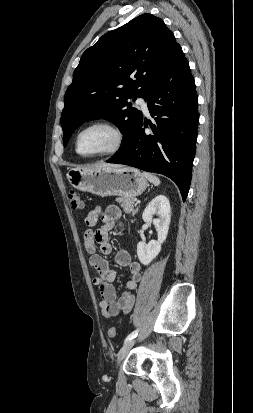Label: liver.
Wrapping results in <instances>:
<instances>
[{
	"label": "liver",
	"instance_id": "6515ba94",
	"mask_svg": "<svg viewBox=\"0 0 253 413\" xmlns=\"http://www.w3.org/2000/svg\"><path fill=\"white\" fill-rule=\"evenodd\" d=\"M118 166H121V165H118V164H110V163H100V164H97V165H95V166H93V167L107 168V167H118ZM93 167H90V168H93Z\"/></svg>",
	"mask_w": 253,
	"mask_h": 413
}]
</instances>
